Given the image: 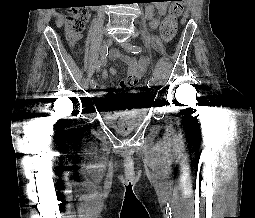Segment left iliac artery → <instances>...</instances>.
<instances>
[{
	"label": "left iliac artery",
	"mask_w": 255,
	"mask_h": 218,
	"mask_svg": "<svg viewBox=\"0 0 255 218\" xmlns=\"http://www.w3.org/2000/svg\"><path fill=\"white\" fill-rule=\"evenodd\" d=\"M131 53H134V54H138L142 51V48L140 46H135L133 45L130 49ZM155 83V79L154 77H151L149 80H148V83H147V86L148 87H151L153 86Z\"/></svg>",
	"instance_id": "44dca946"
}]
</instances>
